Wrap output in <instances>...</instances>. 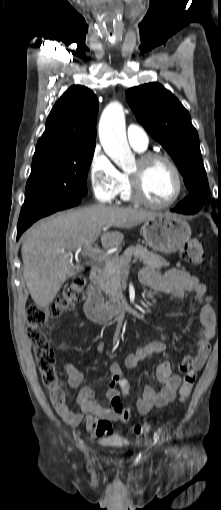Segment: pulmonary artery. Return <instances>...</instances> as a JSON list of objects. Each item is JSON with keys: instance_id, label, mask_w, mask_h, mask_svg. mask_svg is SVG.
I'll list each match as a JSON object with an SVG mask.
<instances>
[{"instance_id": "e3ab8cb5", "label": "pulmonary artery", "mask_w": 221, "mask_h": 510, "mask_svg": "<svg viewBox=\"0 0 221 510\" xmlns=\"http://www.w3.org/2000/svg\"><path fill=\"white\" fill-rule=\"evenodd\" d=\"M127 138L130 145L138 150H145L149 144V136L146 131L135 124H131L127 128Z\"/></svg>"}]
</instances>
